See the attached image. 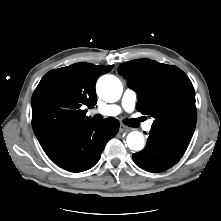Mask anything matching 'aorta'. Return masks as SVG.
<instances>
[{
	"instance_id": "1",
	"label": "aorta",
	"mask_w": 221,
	"mask_h": 221,
	"mask_svg": "<svg viewBox=\"0 0 221 221\" xmlns=\"http://www.w3.org/2000/svg\"><path fill=\"white\" fill-rule=\"evenodd\" d=\"M121 81L114 75H103L97 81V93L106 102H116L122 95ZM130 149L140 151L144 147V136L141 132L132 131L126 139Z\"/></svg>"
}]
</instances>
